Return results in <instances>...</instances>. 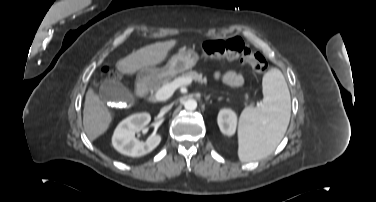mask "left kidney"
<instances>
[{
	"mask_svg": "<svg viewBox=\"0 0 376 202\" xmlns=\"http://www.w3.org/2000/svg\"><path fill=\"white\" fill-rule=\"evenodd\" d=\"M218 125L223 134L232 136L237 126L236 113L230 109H222L218 115Z\"/></svg>",
	"mask_w": 376,
	"mask_h": 202,
	"instance_id": "obj_1",
	"label": "left kidney"
}]
</instances>
